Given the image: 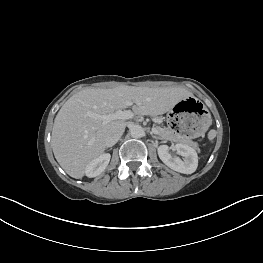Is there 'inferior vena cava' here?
Returning a JSON list of instances; mask_svg holds the SVG:
<instances>
[{"label": "inferior vena cava", "instance_id": "inferior-vena-cava-1", "mask_svg": "<svg viewBox=\"0 0 263 263\" xmlns=\"http://www.w3.org/2000/svg\"><path fill=\"white\" fill-rule=\"evenodd\" d=\"M124 129H114L112 130L107 139H106V146H113L114 144H116L121 136L123 135Z\"/></svg>", "mask_w": 263, "mask_h": 263}]
</instances>
